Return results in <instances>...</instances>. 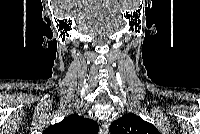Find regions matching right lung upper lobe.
Returning a JSON list of instances; mask_svg holds the SVG:
<instances>
[{
    "instance_id": "cb5924a9",
    "label": "right lung upper lobe",
    "mask_w": 200,
    "mask_h": 134,
    "mask_svg": "<svg viewBox=\"0 0 200 134\" xmlns=\"http://www.w3.org/2000/svg\"><path fill=\"white\" fill-rule=\"evenodd\" d=\"M98 125L91 119L72 114L45 130V134H95Z\"/></svg>"
}]
</instances>
